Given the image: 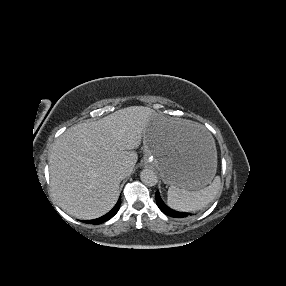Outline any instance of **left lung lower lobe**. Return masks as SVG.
Instances as JSON below:
<instances>
[{
	"mask_svg": "<svg viewBox=\"0 0 286 286\" xmlns=\"http://www.w3.org/2000/svg\"><path fill=\"white\" fill-rule=\"evenodd\" d=\"M155 197L158 207L164 214L175 218H184L188 216V213L177 212L167 207L160 198L159 191L156 192Z\"/></svg>",
	"mask_w": 286,
	"mask_h": 286,
	"instance_id": "0a47b994",
	"label": "left lung lower lobe"
}]
</instances>
